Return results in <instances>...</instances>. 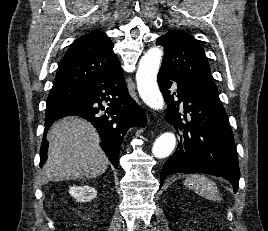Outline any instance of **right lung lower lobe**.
<instances>
[{
	"label": "right lung lower lobe",
	"instance_id": "obj_1",
	"mask_svg": "<svg viewBox=\"0 0 268 231\" xmlns=\"http://www.w3.org/2000/svg\"><path fill=\"white\" fill-rule=\"evenodd\" d=\"M68 115L83 117L94 125L102 140L100 145L115 168H118L120 146L127 130L146 123L144 111L128 93L122 68L118 63L83 87L78 98L52 107L47 106L40 167L47 159L46 131L55 120Z\"/></svg>",
	"mask_w": 268,
	"mask_h": 231
}]
</instances>
